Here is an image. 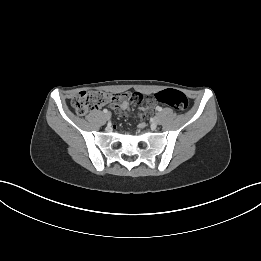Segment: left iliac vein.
I'll use <instances>...</instances> for the list:
<instances>
[{
  "label": "left iliac vein",
  "instance_id": "1",
  "mask_svg": "<svg viewBox=\"0 0 261 261\" xmlns=\"http://www.w3.org/2000/svg\"><path fill=\"white\" fill-rule=\"evenodd\" d=\"M161 120H160V117L158 115H156L153 120H152V124L153 125H158L160 124Z\"/></svg>",
  "mask_w": 261,
  "mask_h": 261
}]
</instances>
